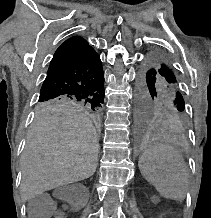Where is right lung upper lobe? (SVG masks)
Here are the masks:
<instances>
[{"label":"right lung upper lobe","mask_w":211,"mask_h":218,"mask_svg":"<svg viewBox=\"0 0 211 218\" xmlns=\"http://www.w3.org/2000/svg\"><path fill=\"white\" fill-rule=\"evenodd\" d=\"M94 51V49L88 45V42L81 37H72L66 40L55 52L51 64L57 61L81 55Z\"/></svg>","instance_id":"cb5924a9"}]
</instances>
